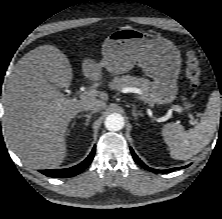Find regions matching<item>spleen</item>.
Wrapping results in <instances>:
<instances>
[{"instance_id":"3e777b00","label":"spleen","mask_w":222,"mask_h":219,"mask_svg":"<svg viewBox=\"0 0 222 219\" xmlns=\"http://www.w3.org/2000/svg\"><path fill=\"white\" fill-rule=\"evenodd\" d=\"M222 101L220 94L214 91L207 103L201 120L195 127L184 131L182 125L168 123L163 127L162 134L169 146L170 155L174 159L187 160L198 154L212 139L220 121Z\"/></svg>"}]
</instances>
